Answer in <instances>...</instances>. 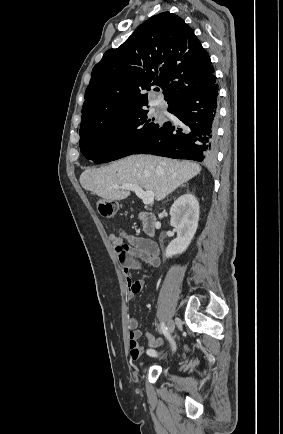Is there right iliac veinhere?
I'll use <instances>...</instances> for the list:
<instances>
[{
	"label": "right iliac vein",
	"instance_id": "1",
	"mask_svg": "<svg viewBox=\"0 0 283 434\" xmlns=\"http://www.w3.org/2000/svg\"><path fill=\"white\" fill-rule=\"evenodd\" d=\"M174 329H175L174 321L172 319H170L167 323V332H168L169 338H171V335L173 334Z\"/></svg>",
	"mask_w": 283,
	"mask_h": 434
}]
</instances>
